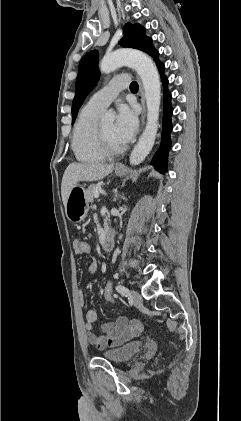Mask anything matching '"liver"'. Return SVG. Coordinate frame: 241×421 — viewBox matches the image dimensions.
I'll list each match as a JSON object with an SVG mask.
<instances>
[{"instance_id": "1", "label": "liver", "mask_w": 241, "mask_h": 421, "mask_svg": "<svg viewBox=\"0 0 241 421\" xmlns=\"http://www.w3.org/2000/svg\"><path fill=\"white\" fill-rule=\"evenodd\" d=\"M114 169L113 164H95V163H71L66 168L62 183L61 196L64 206L71 189L78 182H94L103 179Z\"/></svg>"}]
</instances>
